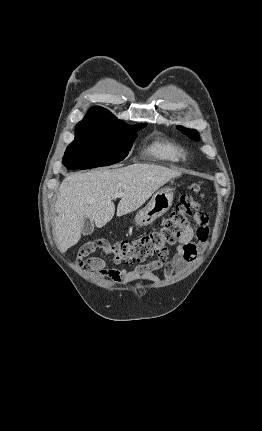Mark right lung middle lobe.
I'll use <instances>...</instances> for the list:
<instances>
[{
	"label": "right lung middle lobe",
	"instance_id": "obj_1",
	"mask_svg": "<svg viewBox=\"0 0 262 431\" xmlns=\"http://www.w3.org/2000/svg\"><path fill=\"white\" fill-rule=\"evenodd\" d=\"M146 124L129 126L121 120L107 124L77 125L75 139L62 163L68 169H90L122 161L129 153L136 132Z\"/></svg>",
	"mask_w": 262,
	"mask_h": 431
}]
</instances>
